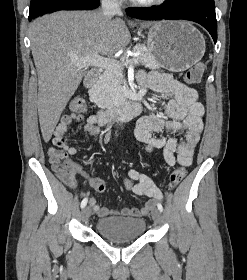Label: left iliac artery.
Returning <instances> with one entry per match:
<instances>
[{"label":"left iliac artery","instance_id":"obj_1","mask_svg":"<svg viewBox=\"0 0 247 280\" xmlns=\"http://www.w3.org/2000/svg\"><path fill=\"white\" fill-rule=\"evenodd\" d=\"M157 207L161 212L163 211V206L161 203H157Z\"/></svg>","mask_w":247,"mask_h":280}]
</instances>
